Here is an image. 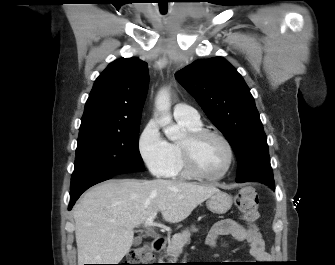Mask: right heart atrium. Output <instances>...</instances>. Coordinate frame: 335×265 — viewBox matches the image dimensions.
I'll list each match as a JSON object with an SVG mask.
<instances>
[{"mask_svg": "<svg viewBox=\"0 0 335 265\" xmlns=\"http://www.w3.org/2000/svg\"><path fill=\"white\" fill-rule=\"evenodd\" d=\"M139 154L155 176H166L173 163L170 143L162 135L157 122L150 119L138 139Z\"/></svg>", "mask_w": 335, "mask_h": 265, "instance_id": "1", "label": "right heart atrium"}]
</instances>
